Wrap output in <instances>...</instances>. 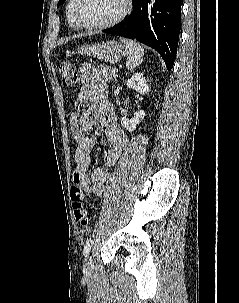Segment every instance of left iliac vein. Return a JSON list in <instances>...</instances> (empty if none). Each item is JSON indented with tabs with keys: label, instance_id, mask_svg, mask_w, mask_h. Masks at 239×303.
I'll return each mask as SVG.
<instances>
[{
	"label": "left iliac vein",
	"instance_id": "1",
	"mask_svg": "<svg viewBox=\"0 0 239 303\" xmlns=\"http://www.w3.org/2000/svg\"><path fill=\"white\" fill-rule=\"evenodd\" d=\"M84 267L87 270H91L93 268V259L91 255H87L84 259Z\"/></svg>",
	"mask_w": 239,
	"mask_h": 303
}]
</instances>
